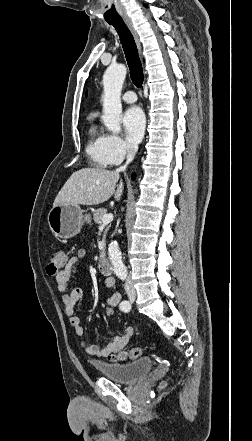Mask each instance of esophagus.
Listing matches in <instances>:
<instances>
[{
    "instance_id": "obj_1",
    "label": "esophagus",
    "mask_w": 252,
    "mask_h": 441,
    "mask_svg": "<svg viewBox=\"0 0 252 441\" xmlns=\"http://www.w3.org/2000/svg\"><path fill=\"white\" fill-rule=\"evenodd\" d=\"M124 22L127 25V27L129 28V30L132 33V35L134 36V39H135V41H136V43H137V45H138V47L140 49L139 37H138L136 29L134 28L132 20L129 17H125L124 18Z\"/></svg>"
}]
</instances>
